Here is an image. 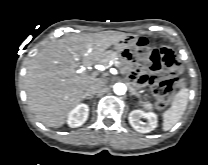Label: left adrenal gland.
<instances>
[{
  "instance_id": "1",
  "label": "left adrenal gland",
  "mask_w": 208,
  "mask_h": 165,
  "mask_svg": "<svg viewBox=\"0 0 208 165\" xmlns=\"http://www.w3.org/2000/svg\"><path fill=\"white\" fill-rule=\"evenodd\" d=\"M130 93H131V95H135L136 97L140 98V95L132 87H130Z\"/></svg>"
}]
</instances>
